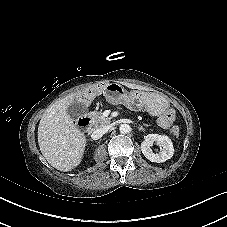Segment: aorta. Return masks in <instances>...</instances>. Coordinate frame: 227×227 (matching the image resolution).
<instances>
[{"label": "aorta", "mask_w": 227, "mask_h": 227, "mask_svg": "<svg viewBox=\"0 0 227 227\" xmlns=\"http://www.w3.org/2000/svg\"><path fill=\"white\" fill-rule=\"evenodd\" d=\"M119 130L120 133L127 134L131 131V127L128 124H121Z\"/></svg>", "instance_id": "aorta-1"}]
</instances>
